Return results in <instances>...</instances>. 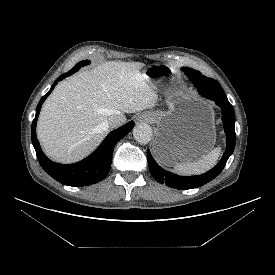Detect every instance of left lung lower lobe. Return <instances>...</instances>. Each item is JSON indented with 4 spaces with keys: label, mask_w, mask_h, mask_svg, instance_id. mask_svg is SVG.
<instances>
[{
    "label": "left lung lower lobe",
    "mask_w": 275,
    "mask_h": 275,
    "mask_svg": "<svg viewBox=\"0 0 275 275\" xmlns=\"http://www.w3.org/2000/svg\"><path fill=\"white\" fill-rule=\"evenodd\" d=\"M183 69V68H182ZM186 74V73H185ZM192 83L202 90V96L211 99L222 109V121L224 131L226 133V150L220 162L208 172L197 176H178L171 172L162 169L152 158L150 151H147L148 165L152 176L161 184H166L169 187L179 190H187L202 186L217 177L226 165L230 155L233 153L236 143L235 134V114L234 109L228 101L225 94L217 91L214 84V79L204 75L186 74ZM199 92V91H198Z\"/></svg>",
    "instance_id": "0a47b994"
}]
</instances>
